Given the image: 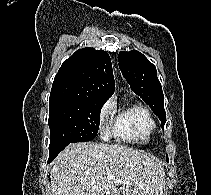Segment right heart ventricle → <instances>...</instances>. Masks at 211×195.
<instances>
[{"instance_id": "obj_1", "label": "right heart ventricle", "mask_w": 211, "mask_h": 195, "mask_svg": "<svg viewBox=\"0 0 211 195\" xmlns=\"http://www.w3.org/2000/svg\"><path fill=\"white\" fill-rule=\"evenodd\" d=\"M115 110L114 106L111 107ZM156 129V122L150 111L140 105L131 104L115 115L112 134L125 142L148 143Z\"/></svg>"}]
</instances>
